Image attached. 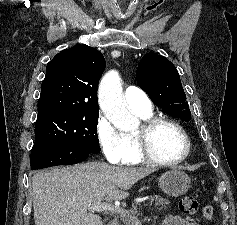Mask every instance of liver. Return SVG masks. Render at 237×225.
<instances>
[{"mask_svg":"<svg viewBox=\"0 0 237 225\" xmlns=\"http://www.w3.org/2000/svg\"><path fill=\"white\" fill-rule=\"evenodd\" d=\"M154 168H122L86 162L41 171L32 177L35 225H103L89 204L124 199Z\"/></svg>","mask_w":237,"mask_h":225,"instance_id":"1","label":"liver"}]
</instances>
